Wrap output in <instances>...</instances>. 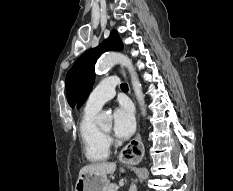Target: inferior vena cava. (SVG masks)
I'll return each mask as SVG.
<instances>
[{
  "label": "inferior vena cava",
  "mask_w": 233,
  "mask_h": 191,
  "mask_svg": "<svg viewBox=\"0 0 233 191\" xmlns=\"http://www.w3.org/2000/svg\"><path fill=\"white\" fill-rule=\"evenodd\" d=\"M129 191H137L136 185L135 184L131 185Z\"/></svg>",
  "instance_id": "inferior-vena-cava-1"
}]
</instances>
